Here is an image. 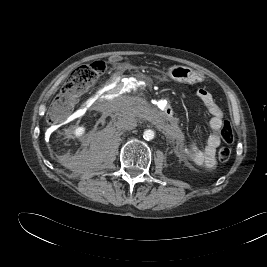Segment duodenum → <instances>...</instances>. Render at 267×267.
<instances>
[{
	"instance_id": "1",
	"label": "duodenum",
	"mask_w": 267,
	"mask_h": 267,
	"mask_svg": "<svg viewBox=\"0 0 267 267\" xmlns=\"http://www.w3.org/2000/svg\"><path fill=\"white\" fill-rule=\"evenodd\" d=\"M107 91L110 94H116L117 96H122L126 92V84L124 82L110 83L107 86ZM161 112L165 113L172 120L173 111L169 106L164 107L161 110Z\"/></svg>"
}]
</instances>
